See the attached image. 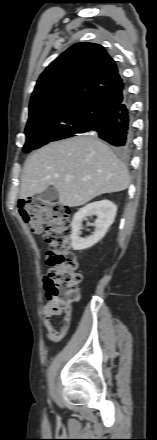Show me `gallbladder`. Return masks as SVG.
<instances>
[{
  "label": "gallbladder",
  "instance_id": "obj_1",
  "mask_svg": "<svg viewBox=\"0 0 157 440\" xmlns=\"http://www.w3.org/2000/svg\"><path fill=\"white\" fill-rule=\"evenodd\" d=\"M59 197V193L56 188L49 187L44 192L40 194V198L45 201H54Z\"/></svg>",
  "mask_w": 157,
  "mask_h": 440
}]
</instances>
